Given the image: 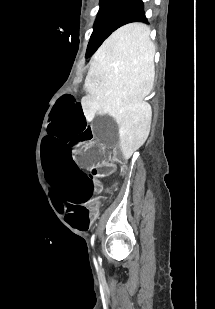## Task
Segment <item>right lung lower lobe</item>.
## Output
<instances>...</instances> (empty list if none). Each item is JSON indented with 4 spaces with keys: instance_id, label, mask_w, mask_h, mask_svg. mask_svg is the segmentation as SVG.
<instances>
[{
    "instance_id": "1",
    "label": "right lung lower lobe",
    "mask_w": 215,
    "mask_h": 309,
    "mask_svg": "<svg viewBox=\"0 0 215 309\" xmlns=\"http://www.w3.org/2000/svg\"><path fill=\"white\" fill-rule=\"evenodd\" d=\"M131 22H147V18L145 16L144 10H143V2L142 0H134L125 13L123 14L122 18L120 19L118 23V28L120 26H123L127 23Z\"/></svg>"
}]
</instances>
